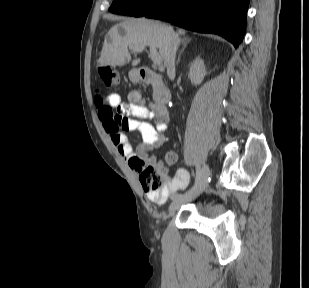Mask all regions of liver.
I'll use <instances>...</instances> for the list:
<instances>
[{"mask_svg": "<svg viewBox=\"0 0 309 288\" xmlns=\"http://www.w3.org/2000/svg\"><path fill=\"white\" fill-rule=\"evenodd\" d=\"M185 35L184 30L175 32L171 26L155 21L140 19H126L114 25L107 33L101 56L100 66H122L131 62L132 66L140 63V59L132 60L128 47L158 48L159 55L166 65L172 40L179 41V36Z\"/></svg>", "mask_w": 309, "mask_h": 288, "instance_id": "obj_1", "label": "liver"}]
</instances>
